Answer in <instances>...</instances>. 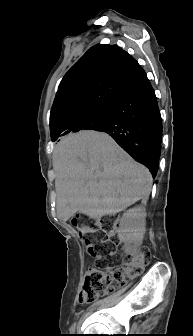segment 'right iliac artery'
<instances>
[{
    "instance_id": "obj_1",
    "label": "right iliac artery",
    "mask_w": 193,
    "mask_h": 336,
    "mask_svg": "<svg viewBox=\"0 0 193 336\" xmlns=\"http://www.w3.org/2000/svg\"><path fill=\"white\" fill-rule=\"evenodd\" d=\"M74 330H75V324L72 325L71 328H70V331H71V332H74Z\"/></svg>"
}]
</instances>
